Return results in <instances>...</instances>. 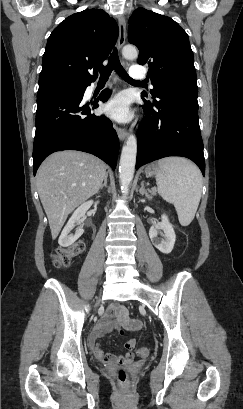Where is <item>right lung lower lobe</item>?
Masks as SVG:
<instances>
[{
  "label": "right lung lower lobe",
  "mask_w": 243,
  "mask_h": 409,
  "mask_svg": "<svg viewBox=\"0 0 243 409\" xmlns=\"http://www.w3.org/2000/svg\"><path fill=\"white\" fill-rule=\"evenodd\" d=\"M80 91H62L37 97L36 132L33 146V173L51 153L79 150L91 153L112 169L116 168L119 141L112 122L104 115L90 114L98 107L82 102L86 87ZM110 95L104 90L99 100L106 102Z\"/></svg>",
  "instance_id": "right-lung-lower-lobe-1"
}]
</instances>
